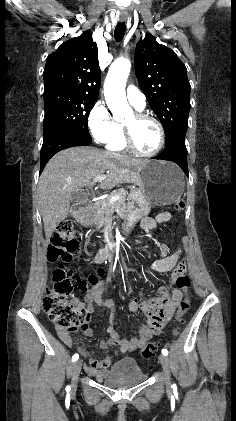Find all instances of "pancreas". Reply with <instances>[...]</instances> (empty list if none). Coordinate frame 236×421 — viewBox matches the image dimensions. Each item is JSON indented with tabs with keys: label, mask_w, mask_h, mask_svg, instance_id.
<instances>
[{
	"label": "pancreas",
	"mask_w": 236,
	"mask_h": 421,
	"mask_svg": "<svg viewBox=\"0 0 236 421\" xmlns=\"http://www.w3.org/2000/svg\"><path fill=\"white\" fill-rule=\"evenodd\" d=\"M114 194H118V196H120L119 200H114L111 204L110 198H103V200H97V202H94V204H92V208H90L94 223L98 229H100V227H110L114 211L120 219L125 217L126 192L125 190H113L110 196H114Z\"/></svg>",
	"instance_id": "1"
}]
</instances>
